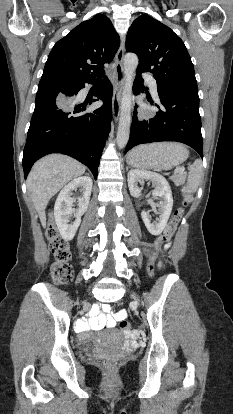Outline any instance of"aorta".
<instances>
[{
    "label": "aorta",
    "mask_w": 233,
    "mask_h": 414,
    "mask_svg": "<svg viewBox=\"0 0 233 414\" xmlns=\"http://www.w3.org/2000/svg\"><path fill=\"white\" fill-rule=\"evenodd\" d=\"M138 66V57L134 53H127L124 57L125 84L121 100V114L117 131V145L124 148L129 140L132 108V85L134 72Z\"/></svg>",
    "instance_id": "1"
}]
</instances>
